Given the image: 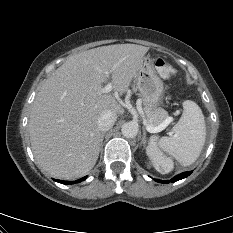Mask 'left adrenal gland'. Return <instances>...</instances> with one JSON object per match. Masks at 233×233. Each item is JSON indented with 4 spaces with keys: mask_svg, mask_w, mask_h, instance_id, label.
Returning <instances> with one entry per match:
<instances>
[{
    "mask_svg": "<svg viewBox=\"0 0 233 233\" xmlns=\"http://www.w3.org/2000/svg\"><path fill=\"white\" fill-rule=\"evenodd\" d=\"M146 142H147L146 132H145V130H143V138H142L141 144H143L144 148L146 147ZM146 148H148V147H146Z\"/></svg>",
    "mask_w": 233,
    "mask_h": 233,
    "instance_id": "obj_1",
    "label": "left adrenal gland"
}]
</instances>
